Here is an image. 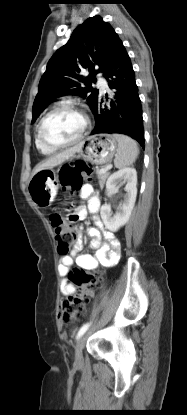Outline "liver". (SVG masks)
<instances>
[{
    "instance_id": "obj_1",
    "label": "liver",
    "mask_w": 187,
    "mask_h": 415,
    "mask_svg": "<svg viewBox=\"0 0 187 415\" xmlns=\"http://www.w3.org/2000/svg\"><path fill=\"white\" fill-rule=\"evenodd\" d=\"M81 150V143L78 145H75L74 147H71L69 149H66L56 155H53L49 157L45 162L39 164L34 172L33 175L41 170L44 169H50L53 168L61 163H63L65 160L72 157L76 152H79Z\"/></svg>"
}]
</instances>
